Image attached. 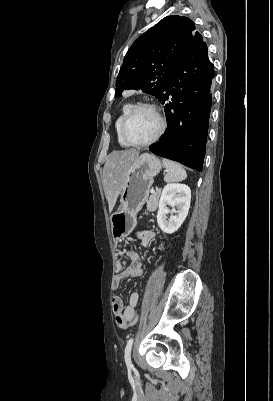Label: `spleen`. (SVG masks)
Here are the masks:
<instances>
[{
  "mask_svg": "<svg viewBox=\"0 0 273 401\" xmlns=\"http://www.w3.org/2000/svg\"><path fill=\"white\" fill-rule=\"evenodd\" d=\"M163 166L167 170V174L164 176L166 182H177V180H184L186 178V170L179 162H174V160H168V158H161Z\"/></svg>",
  "mask_w": 273,
  "mask_h": 401,
  "instance_id": "obj_1",
  "label": "spleen"
}]
</instances>
